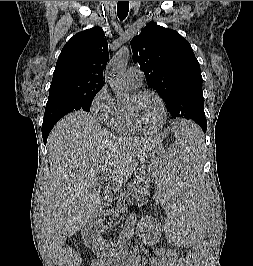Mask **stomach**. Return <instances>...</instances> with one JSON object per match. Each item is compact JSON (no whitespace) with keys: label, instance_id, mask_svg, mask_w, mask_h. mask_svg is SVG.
<instances>
[{"label":"stomach","instance_id":"stomach-1","mask_svg":"<svg viewBox=\"0 0 253 266\" xmlns=\"http://www.w3.org/2000/svg\"><path fill=\"white\" fill-rule=\"evenodd\" d=\"M163 153H168L164 150L162 144H158L156 147H153L147 155L143 157L140 162V169L143 173V176L149 180H154L155 176H159L160 170L158 169L157 163L158 160L162 159Z\"/></svg>","mask_w":253,"mask_h":266}]
</instances>
